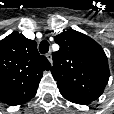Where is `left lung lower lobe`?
Listing matches in <instances>:
<instances>
[{"label": "left lung lower lobe", "instance_id": "0a47b994", "mask_svg": "<svg viewBox=\"0 0 114 114\" xmlns=\"http://www.w3.org/2000/svg\"><path fill=\"white\" fill-rule=\"evenodd\" d=\"M63 97H65L67 100L73 102V103H78V104H88L90 102H92L93 100L88 99V98H84V97H79V96H73V95H69V94H62Z\"/></svg>", "mask_w": 114, "mask_h": 114}]
</instances>
